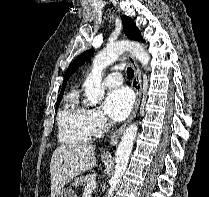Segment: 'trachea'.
I'll list each match as a JSON object with an SVG mask.
<instances>
[{
	"mask_svg": "<svg viewBox=\"0 0 209 197\" xmlns=\"http://www.w3.org/2000/svg\"><path fill=\"white\" fill-rule=\"evenodd\" d=\"M127 75L130 78L134 76V70L131 67L127 68Z\"/></svg>",
	"mask_w": 209,
	"mask_h": 197,
	"instance_id": "trachea-1",
	"label": "trachea"
}]
</instances>
